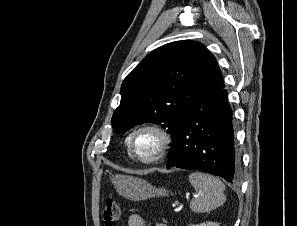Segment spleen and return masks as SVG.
<instances>
[{"label":"spleen","instance_id":"obj_1","mask_svg":"<svg viewBox=\"0 0 297 226\" xmlns=\"http://www.w3.org/2000/svg\"><path fill=\"white\" fill-rule=\"evenodd\" d=\"M189 181L198 194L190 202L192 211L196 213L209 212L226 201L225 186L217 177L194 172L189 175Z\"/></svg>","mask_w":297,"mask_h":226}]
</instances>
